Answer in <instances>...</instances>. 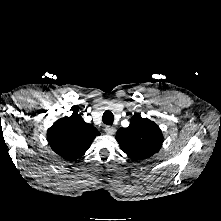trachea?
<instances>
[{
    "label": "trachea",
    "mask_w": 221,
    "mask_h": 221,
    "mask_svg": "<svg viewBox=\"0 0 221 221\" xmlns=\"http://www.w3.org/2000/svg\"><path fill=\"white\" fill-rule=\"evenodd\" d=\"M102 120L104 124L112 125L114 121L113 113L111 111H105L102 116Z\"/></svg>",
    "instance_id": "trachea-1"
}]
</instances>
